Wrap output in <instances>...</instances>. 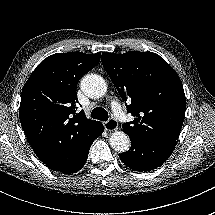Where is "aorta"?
I'll list each match as a JSON object with an SVG mask.
<instances>
[{
  "mask_svg": "<svg viewBox=\"0 0 215 215\" xmlns=\"http://www.w3.org/2000/svg\"><path fill=\"white\" fill-rule=\"evenodd\" d=\"M81 87L89 97L95 98L103 96L107 90L104 79L98 75H86L81 81ZM109 142L119 153L128 151L131 145L129 136L123 131L112 133Z\"/></svg>",
  "mask_w": 215,
  "mask_h": 215,
  "instance_id": "1",
  "label": "aorta"
}]
</instances>
